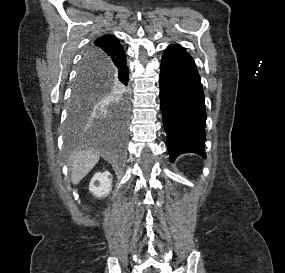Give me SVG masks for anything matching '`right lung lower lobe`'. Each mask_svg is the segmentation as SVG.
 <instances>
[{
  "mask_svg": "<svg viewBox=\"0 0 285 273\" xmlns=\"http://www.w3.org/2000/svg\"><path fill=\"white\" fill-rule=\"evenodd\" d=\"M124 53L125 51L121 55L111 58L98 56V58L91 62L90 65L94 67L106 65L110 70V74L114 82L125 89L128 84L129 76L128 68L126 66V55Z\"/></svg>",
  "mask_w": 285,
  "mask_h": 273,
  "instance_id": "1",
  "label": "right lung lower lobe"
}]
</instances>
